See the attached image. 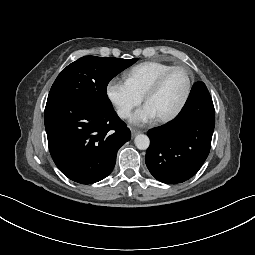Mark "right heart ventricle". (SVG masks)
Instances as JSON below:
<instances>
[{"mask_svg": "<svg viewBox=\"0 0 255 255\" xmlns=\"http://www.w3.org/2000/svg\"><path fill=\"white\" fill-rule=\"evenodd\" d=\"M171 67L173 65L158 61L143 62L128 71L126 81L134 90L144 96L155 80Z\"/></svg>", "mask_w": 255, "mask_h": 255, "instance_id": "right-heart-ventricle-1", "label": "right heart ventricle"}]
</instances>
